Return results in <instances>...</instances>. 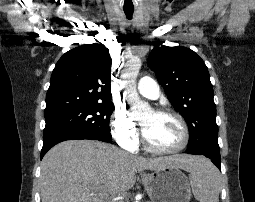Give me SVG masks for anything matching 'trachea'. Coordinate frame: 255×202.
Returning a JSON list of instances; mask_svg holds the SVG:
<instances>
[{"label": "trachea", "mask_w": 255, "mask_h": 202, "mask_svg": "<svg viewBox=\"0 0 255 202\" xmlns=\"http://www.w3.org/2000/svg\"><path fill=\"white\" fill-rule=\"evenodd\" d=\"M133 12H134V8H131V9H124V13H125V15H126V17H127L128 19H131V18H132Z\"/></svg>", "instance_id": "1"}]
</instances>
